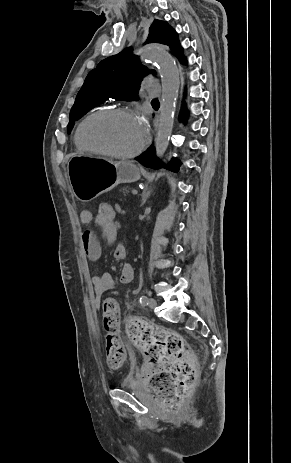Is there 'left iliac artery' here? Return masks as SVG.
I'll return each mask as SVG.
<instances>
[{"label":"left iliac artery","instance_id":"left-iliac-artery-1","mask_svg":"<svg viewBox=\"0 0 291 463\" xmlns=\"http://www.w3.org/2000/svg\"><path fill=\"white\" fill-rule=\"evenodd\" d=\"M139 301H140V304H141L142 306H145V305L148 304V297L145 296V295H143V296L140 297V300H139Z\"/></svg>","mask_w":291,"mask_h":463}]
</instances>
